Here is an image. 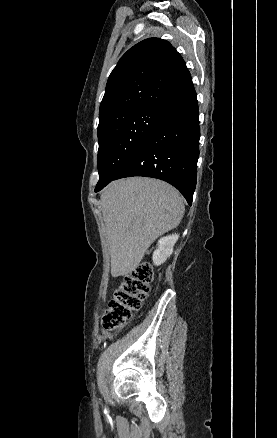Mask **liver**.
I'll return each mask as SVG.
<instances>
[{
    "instance_id": "liver-1",
    "label": "liver",
    "mask_w": 277,
    "mask_h": 438,
    "mask_svg": "<svg viewBox=\"0 0 277 438\" xmlns=\"http://www.w3.org/2000/svg\"><path fill=\"white\" fill-rule=\"evenodd\" d=\"M111 276L135 272L151 244L180 224L185 206L178 190L154 178H123L101 194Z\"/></svg>"
}]
</instances>
